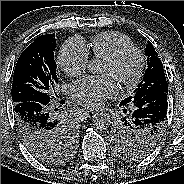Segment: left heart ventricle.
<instances>
[{
    "label": "left heart ventricle",
    "instance_id": "1",
    "mask_svg": "<svg viewBox=\"0 0 184 184\" xmlns=\"http://www.w3.org/2000/svg\"><path fill=\"white\" fill-rule=\"evenodd\" d=\"M136 66V58L134 56H129L121 65L120 68H113L111 65L103 62V65L101 67V73L106 75H111L114 78H118L119 75L128 76L130 75Z\"/></svg>",
    "mask_w": 184,
    "mask_h": 184
}]
</instances>
